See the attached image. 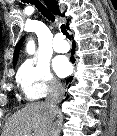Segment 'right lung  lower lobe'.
<instances>
[{"mask_svg": "<svg viewBox=\"0 0 117 136\" xmlns=\"http://www.w3.org/2000/svg\"><path fill=\"white\" fill-rule=\"evenodd\" d=\"M71 61L74 62V58H73V57H71ZM71 80H72L71 77H69V78L67 79V83H68V82H71ZM69 86H70V84H69ZM67 98H68V96L66 97V99H67Z\"/></svg>", "mask_w": 117, "mask_h": 136, "instance_id": "obj_1", "label": "right lung lower lobe"}]
</instances>
